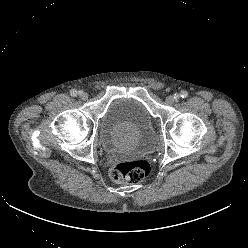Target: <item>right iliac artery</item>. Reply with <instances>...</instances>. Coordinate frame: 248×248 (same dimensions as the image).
Listing matches in <instances>:
<instances>
[{"label": "right iliac artery", "mask_w": 248, "mask_h": 248, "mask_svg": "<svg viewBox=\"0 0 248 248\" xmlns=\"http://www.w3.org/2000/svg\"><path fill=\"white\" fill-rule=\"evenodd\" d=\"M70 95L73 96V97H75V96L78 95V92L75 89H73V90L70 91Z\"/></svg>", "instance_id": "right-iliac-artery-1"}]
</instances>
